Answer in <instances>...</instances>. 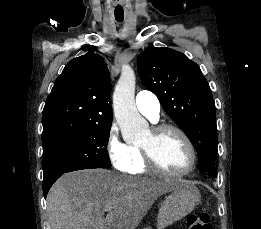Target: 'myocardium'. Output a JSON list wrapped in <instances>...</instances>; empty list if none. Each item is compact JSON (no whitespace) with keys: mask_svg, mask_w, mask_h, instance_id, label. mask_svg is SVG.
Here are the masks:
<instances>
[{"mask_svg":"<svg viewBox=\"0 0 261 229\" xmlns=\"http://www.w3.org/2000/svg\"><path fill=\"white\" fill-rule=\"evenodd\" d=\"M165 132H175L178 135L181 136V138L184 140L189 153H190V164L189 166L181 172H171L167 169H165L157 160L155 153H154V144L158 140V138L164 134ZM146 164L148 168L160 175L168 176V177H183L188 175L190 172L193 171L196 165V150L195 147L189 138V136L179 127L170 125V124H162L156 127H153L150 130V138L149 142L146 144L140 145Z\"/></svg>","mask_w":261,"mask_h":229,"instance_id":"myocardium-1","label":"myocardium"}]
</instances>
